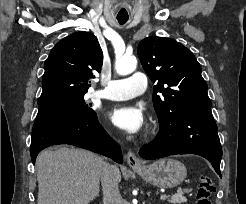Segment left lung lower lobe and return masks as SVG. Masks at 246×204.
<instances>
[{
	"label": "left lung lower lobe",
	"mask_w": 246,
	"mask_h": 204,
	"mask_svg": "<svg viewBox=\"0 0 246 204\" xmlns=\"http://www.w3.org/2000/svg\"><path fill=\"white\" fill-rule=\"evenodd\" d=\"M176 154H196L206 158L221 177L222 148L211 110L175 115L161 124L156 138L139 151L140 157L147 160Z\"/></svg>",
	"instance_id": "obj_1"
}]
</instances>
